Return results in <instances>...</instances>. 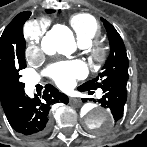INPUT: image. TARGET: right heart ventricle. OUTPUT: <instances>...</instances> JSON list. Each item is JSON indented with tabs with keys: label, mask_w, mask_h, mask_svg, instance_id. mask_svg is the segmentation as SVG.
Instances as JSON below:
<instances>
[{
	"label": "right heart ventricle",
	"mask_w": 147,
	"mask_h": 147,
	"mask_svg": "<svg viewBox=\"0 0 147 147\" xmlns=\"http://www.w3.org/2000/svg\"><path fill=\"white\" fill-rule=\"evenodd\" d=\"M70 24L75 31L78 43L87 46L100 33V25L90 14H77L71 17Z\"/></svg>",
	"instance_id": "obj_1"
}]
</instances>
